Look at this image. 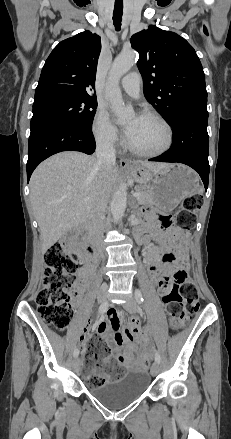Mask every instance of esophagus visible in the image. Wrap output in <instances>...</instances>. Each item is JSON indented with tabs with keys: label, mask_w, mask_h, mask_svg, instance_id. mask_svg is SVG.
Here are the masks:
<instances>
[{
	"label": "esophagus",
	"mask_w": 231,
	"mask_h": 439,
	"mask_svg": "<svg viewBox=\"0 0 231 439\" xmlns=\"http://www.w3.org/2000/svg\"><path fill=\"white\" fill-rule=\"evenodd\" d=\"M133 167V163L131 162V160L126 159V158H122L120 160V168L121 169H129Z\"/></svg>",
	"instance_id": "obj_1"
}]
</instances>
